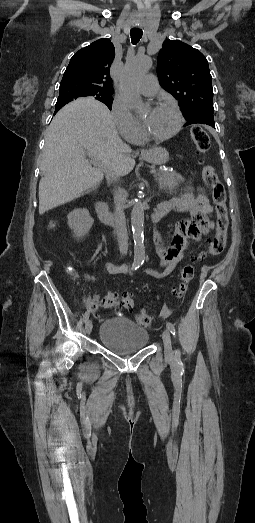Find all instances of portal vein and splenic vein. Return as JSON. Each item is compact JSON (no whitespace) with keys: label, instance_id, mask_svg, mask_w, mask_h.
Here are the masks:
<instances>
[{"label":"portal vein and splenic vein","instance_id":"portal-vein-and-splenic-vein-1","mask_svg":"<svg viewBox=\"0 0 255 523\" xmlns=\"http://www.w3.org/2000/svg\"><path fill=\"white\" fill-rule=\"evenodd\" d=\"M93 162H95V163L93 164V167H94L95 169L103 170V167H102V164H100V160H99V158H94ZM150 174H151L152 176H155V175L157 174V171H156L155 169H152V170L150 171Z\"/></svg>","mask_w":255,"mask_h":523}]
</instances>
